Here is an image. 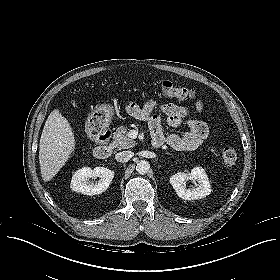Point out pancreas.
Here are the masks:
<instances>
[{
    "mask_svg": "<svg viewBox=\"0 0 280 280\" xmlns=\"http://www.w3.org/2000/svg\"><path fill=\"white\" fill-rule=\"evenodd\" d=\"M127 132H128V128L124 126H120L114 132V136H113L114 144L119 149H128L136 145V141L130 139L127 135Z\"/></svg>",
    "mask_w": 280,
    "mask_h": 280,
    "instance_id": "pancreas-1",
    "label": "pancreas"
}]
</instances>
